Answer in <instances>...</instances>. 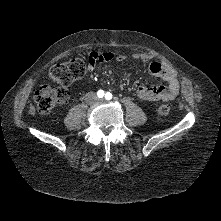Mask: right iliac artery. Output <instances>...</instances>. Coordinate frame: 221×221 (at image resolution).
<instances>
[{"mask_svg":"<svg viewBox=\"0 0 221 221\" xmlns=\"http://www.w3.org/2000/svg\"><path fill=\"white\" fill-rule=\"evenodd\" d=\"M104 95H105V93H104L103 90H99V91L97 92V96H98L99 98H103Z\"/></svg>","mask_w":221,"mask_h":221,"instance_id":"82829eb1","label":"right iliac artery"}]
</instances>
